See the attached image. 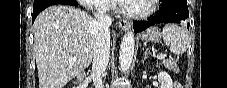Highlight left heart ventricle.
I'll use <instances>...</instances> for the list:
<instances>
[{"label": "left heart ventricle", "mask_w": 227, "mask_h": 88, "mask_svg": "<svg viewBox=\"0 0 227 88\" xmlns=\"http://www.w3.org/2000/svg\"><path fill=\"white\" fill-rule=\"evenodd\" d=\"M125 9L136 12H143L149 9V0H134L124 5Z\"/></svg>", "instance_id": "b2bd125f"}]
</instances>
